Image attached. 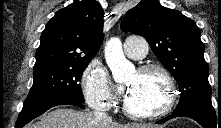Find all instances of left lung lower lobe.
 <instances>
[{
  "label": "left lung lower lobe",
  "mask_w": 221,
  "mask_h": 128,
  "mask_svg": "<svg viewBox=\"0 0 221 128\" xmlns=\"http://www.w3.org/2000/svg\"><path fill=\"white\" fill-rule=\"evenodd\" d=\"M189 117L197 121L203 128H221V117L217 116L213 107L192 106L163 118L156 123L161 124L175 117Z\"/></svg>",
  "instance_id": "left-lung-lower-lobe-1"
}]
</instances>
